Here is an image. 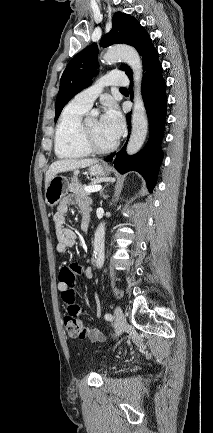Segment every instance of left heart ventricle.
I'll return each mask as SVG.
<instances>
[{
  "label": "left heart ventricle",
  "instance_id": "1",
  "mask_svg": "<svg viewBox=\"0 0 213 433\" xmlns=\"http://www.w3.org/2000/svg\"><path fill=\"white\" fill-rule=\"evenodd\" d=\"M88 131L93 141L100 147L110 146L115 142L107 132L102 128L100 120L97 118H90L86 122Z\"/></svg>",
  "mask_w": 213,
  "mask_h": 433
}]
</instances>
